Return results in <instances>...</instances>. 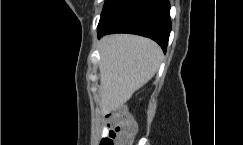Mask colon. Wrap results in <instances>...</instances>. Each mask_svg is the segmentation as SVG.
I'll return each instance as SVG.
<instances>
[{
	"instance_id": "1",
	"label": "colon",
	"mask_w": 243,
	"mask_h": 145,
	"mask_svg": "<svg viewBox=\"0 0 243 145\" xmlns=\"http://www.w3.org/2000/svg\"><path fill=\"white\" fill-rule=\"evenodd\" d=\"M112 127L102 138L100 145H130L137 131V125L125 108H119L111 114Z\"/></svg>"
}]
</instances>
